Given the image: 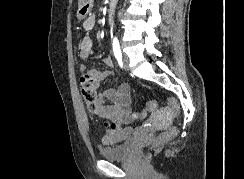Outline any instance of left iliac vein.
<instances>
[{
  "instance_id": "obj_1",
  "label": "left iliac vein",
  "mask_w": 244,
  "mask_h": 179,
  "mask_svg": "<svg viewBox=\"0 0 244 179\" xmlns=\"http://www.w3.org/2000/svg\"><path fill=\"white\" fill-rule=\"evenodd\" d=\"M124 68L129 69V58L126 54L123 55V59H122Z\"/></svg>"
}]
</instances>
